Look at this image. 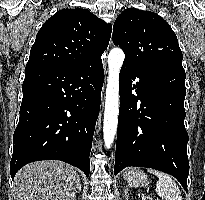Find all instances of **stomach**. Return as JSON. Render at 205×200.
<instances>
[{"instance_id":"obj_1","label":"stomach","mask_w":205,"mask_h":200,"mask_svg":"<svg viewBox=\"0 0 205 200\" xmlns=\"http://www.w3.org/2000/svg\"><path fill=\"white\" fill-rule=\"evenodd\" d=\"M124 179L132 187H141L148 185L147 175L136 168L128 169L124 172Z\"/></svg>"}]
</instances>
